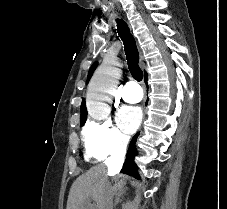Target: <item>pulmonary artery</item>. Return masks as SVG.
<instances>
[{"label": "pulmonary artery", "mask_w": 227, "mask_h": 209, "mask_svg": "<svg viewBox=\"0 0 227 209\" xmlns=\"http://www.w3.org/2000/svg\"><path fill=\"white\" fill-rule=\"evenodd\" d=\"M125 88H122L121 96L125 102L137 103L141 101V88H136L135 82H125Z\"/></svg>", "instance_id": "e3ab8cb5"}]
</instances>
